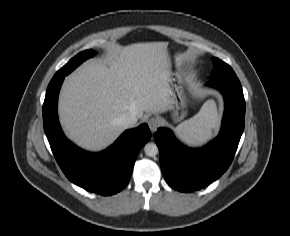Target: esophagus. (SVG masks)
I'll return each instance as SVG.
<instances>
[{
  "label": "esophagus",
  "instance_id": "obj_1",
  "mask_svg": "<svg viewBox=\"0 0 290 236\" xmlns=\"http://www.w3.org/2000/svg\"><path fill=\"white\" fill-rule=\"evenodd\" d=\"M160 119L158 117H150L147 119L148 126L152 132H155L160 125Z\"/></svg>",
  "mask_w": 290,
  "mask_h": 236
}]
</instances>
